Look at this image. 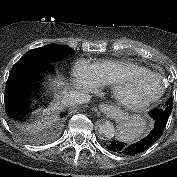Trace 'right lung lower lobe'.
<instances>
[{
  "label": "right lung lower lobe",
  "mask_w": 177,
  "mask_h": 177,
  "mask_svg": "<svg viewBox=\"0 0 177 177\" xmlns=\"http://www.w3.org/2000/svg\"><path fill=\"white\" fill-rule=\"evenodd\" d=\"M50 61L40 57L22 56L11 70L7 84L5 110L7 115L17 121L28 114L34 106H31L32 97L35 96V87L41 75L46 71H53Z\"/></svg>",
  "instance_id": "98d812e1"
}]
</instances>
